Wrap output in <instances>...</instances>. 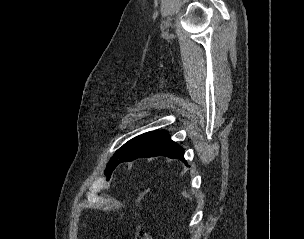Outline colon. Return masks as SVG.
<instances>
[{"label":"colon","mask_w":304,"mask_h":239,"mask_svg":"<svg viewBox=\"0 0 304 239\" xmlns=\"http://www.w3.org/2000/svg\"><path fill=\"white\" fill-rule=\"evenodd\" d=\"M136 239H152L148 231L141 225L137 227Z\"/></svg>","instance_id":"5ec220e1"}]
</instances>
